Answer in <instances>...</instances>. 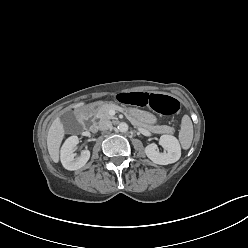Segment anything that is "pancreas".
Masks as SVG:
<instances>
[{
  "label": "pancreas",
  "mask_w": 248,
  "mask_h": 248,
  "mask_svg": "<svg viewBox=\"0 0 248 248\" xmlns=\"http://www.w3.org/2000/svg\"><path fill=\"white\" fill-rule=\"evenodd\" d=\"M111 109L124 111L128 115L130 121L134 125L139 126V127H144L146 129L154 132V133L172 134L173 131H174V129L172 127H169V126H166V125H164V126H158V125L153 126V125L142 123L139 120H137L128 110L123 109L122 107H120L117 104L112 103V102L105 103L102 106H100L98 108V110H97L96 117L99 118V119H114V117L109 114V110H111Z\"/></svg>",
  "instance_id": "1"
}]
</instances>
